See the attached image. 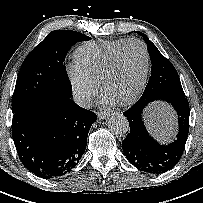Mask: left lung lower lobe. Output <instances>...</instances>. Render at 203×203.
Masks as SVG:
<instances>
[{"label":"left lung lower lobe","mask_w":203,"mask_h":203,"mask_svg":"<svg viewBox=\"0 0 203 203\" xmlns=\"http://www.w3.org/2000/svg\"><path fill=\"white\" fill-rule=\"evenodd\" d=\"M158 99H139L123 114L127 117L130 133L122 142L126 158L138 170L159 174L172 169L181 159L189 132V103L185 97L159 98L168 102L178 115L179 130L176 140L168 145L157 143L147 132L142 112L149 103Z\"/></svg>","instance_id":"0a47b994"}]
</instances>
